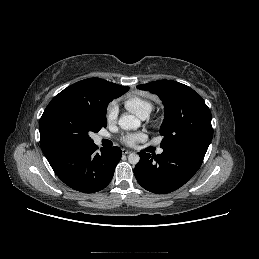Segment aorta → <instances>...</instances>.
I'll list each match as a JSON object with an SVG mask.
<instances>
[{
  "instance_id": "obj_1",
  "label": "aorta",
  "mask_w": 259,
  "mask_h": 259,
  "mask_svg": "<svg viewBox=\"0 0 259 259\" xmlns=\"http://www.w3.org/2000/svg\"><path fill=\"white\" fill-rule=\"evenodd\" d=\"M119 126L124 130H137L140 127V120L134 115L125 114L122 115L118 121ZM140 160V157L136 153H130L128 161L132 165H136Z\"/></svg>"
}]
</instances>
